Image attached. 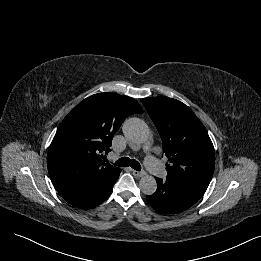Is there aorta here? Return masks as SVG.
<instances>
[{
  "label": "aorta",
  "mask_w": 261,
  "mask_h": 261,
  "mask_svg": "<svg viewBox=\"0 0 261 261\" xmlns=\"http://www.w3.org/2000/svg\"><path fill=\"white\" fill-rule=\"evenodd\" d=\"M125 137L136 144H142L149 138V129L144 121L139 118H130L123 124ZM139 187L145 195H152L157 190V183L153 176L144 175L139 181Z\"/></svg>",
  "instance_id": "1"
}]
</instances>
